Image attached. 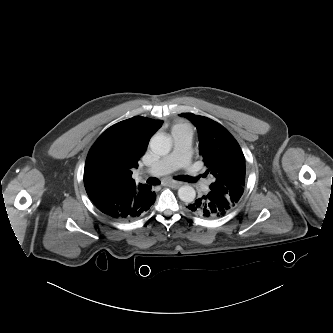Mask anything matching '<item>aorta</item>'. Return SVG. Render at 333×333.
<instances>
[{"mask_svg": "<svg viewBox=\"0 0 333 333\" xmlns=\"http://www.w3.org/2000/svg\"><path fill=\"white\" fill-rule=\"evenodd\" d=\"M151 150L158 155H166L171 150V140L164 134H155L150 140ZM179 198L186 203H191L196 197V191L192 186L184 185L178 190Z\"/></svg>", "mask_w": 333, "mask_h": 333, "instance_id": "aorta-1", "label": "aorta"}]
</instances>
